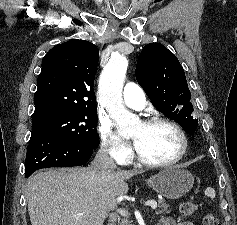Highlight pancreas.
I'll return each instance as SVG.
<instances>
[{"label":"pancreas","mask_w":237,"mask_h":225,"mask_svg":"<svg viewBox=\"0 0 237 225\" xmlns=\"http://www.w3.org/2000/svg\"><path fill=\"white\" fill-rule=\"evenodd\" d=\"M158 211L157 214H164V213H169L170 211V205L164 201V200H160L158 202ZM118 225H133L132 222L128 219H121L118 222Z\"/></svg>","instance_id":"1"}]
</instances>
